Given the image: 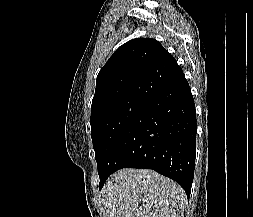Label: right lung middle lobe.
Listing matches in <instances>:
<instances>
[{"mask_svg": "<svg viewBox=\"0 0 253 217\" xmlns=\"http://www.w3.org/2000/svg\"><path fill=\"white\" fill-rule=\"evenodd\" d=\"M148 102L144 98H127L91 115V137L99 177L105 173L106 161L114 145Z\"/></svg>", "mask_w": 253, "mask_h": 217, "instance_id": "obj_1", "label": "right lung middle lobe"}]
</instances>
